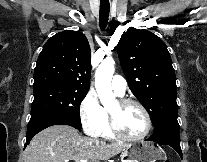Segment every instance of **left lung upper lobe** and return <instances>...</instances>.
<instances>
[{
  "instance_id": "1",
  "label": "left lung upper lobe",
  "mask_w": 207,
  "mask_h": 162,
  "mask_svg": "<svg viewBox=\"0 0 207 162\" xmlns=\"http://www.w3.org/2000/svg\"><path fill=\"white\" fill-rule=\"evenodd\" d=\"M117 50L129 87L154 127L177 118L176 76L165 43L150 31L131 27L121 36Z\"/></svg>"
}]
</instances>
